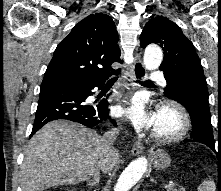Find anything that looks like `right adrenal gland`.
<instances>
[{
  "mask_svg": "<svg viewBox=\"0 0 221 191\" xmlns=\"http://www.w3.org/2000/svg\"><path fill=\"white\" fill-rule=\"evenodd\" d=\"M99 175H97L96 177L93 178V180H87V186H89L90 188H92L93 186H96L97 184H99Z\"/></svg>",
  "mask_w": 221,
  "mask_h": 191,
  "instance_id": "right-adrenal-gland-1",
  "label": "right adrenal gland"
}]
</instances>
